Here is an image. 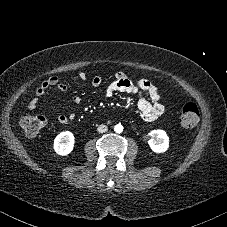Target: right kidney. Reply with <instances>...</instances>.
Segmentation results:
<instances>
[{
    "label": "right kidney",
    "mask_w": 227,
    "mask_h": 227,
    "mask_svg": "<svg viewBox=\"0 0 227 227\" xmlns=\"http://www.w3.org/2000/svg\"><path fill=\"white\" fill-rule=\"evenodd\" d=\"M74 135L70 131H64L58 134L54 140V150L61 156L68 155L74 148Z\"/></svg>",
    "instance_id": "right-kidney-1"
}]
</instances>
